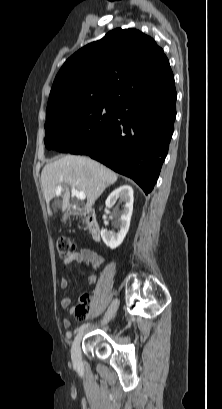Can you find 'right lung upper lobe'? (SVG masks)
I'll use <instances>...</instances> for the list:
<instances>
[{
  "label": "right lung upper lobe",
  "mask_w": 222,
  "mask_h": 409,
  "mask_svg": "<svg viewBox=\"0 0 222 409\" xmlns=\"http://www.w3.org/2000/svg\"><path fill=\"white\" fill-rule=\"evenodd\" d=\"M172 73L156 42L136 29H115L74 53L52 85L47 113L72 104L121 103L168 89Z\"/></svg>",
  "instance_id": "right-lung-upper-lobe-1"
}]
</instances>
